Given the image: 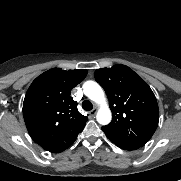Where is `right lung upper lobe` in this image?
<instances>
[{"instance_id": "cb5924a9", "label": "right lung upper lobe", "mask_w": 181, "mask_h": 181, "mask_svg": "<svg viewBox=\"0 0 181 181\" xmlns=\"http://www.w3.org/2000/svg\"><path fill=\"white\" fill-rule=\"evenodd\" d=\"M87 70L50 69L30 85L23 102V117L31 138L43 149L60 153L71 146L88 120L79 113L70 92Z\"/></svg>"}]
</instances>
